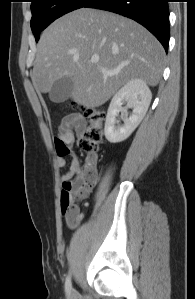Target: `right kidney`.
Here are the masks:
<instances>
[{"label": "right kidney", "instance_id": "obj_1", "mask_svg": "<svg viewBox=\"0 0 195 299\" xmlns=\"http://www.w3.org/2000/svg\"><path fill=\"white\" fill-rule=\"evenodd\" d=\"M152 99V93L147 83L142 79L127 82L112 98L108 108L104 133L110 143L126 140L144 118ZM124 102L126 107H122ZM127 108H132V114L127 116ZM122 113L124 125L116 126L117 117Z\"/></svg>", "mask_w": 195, "mask_h": 299}]
</instances>
